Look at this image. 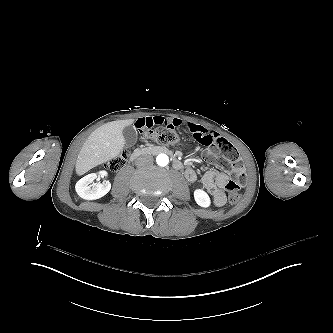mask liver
I'll list each match as a JSON object with an SVG mask.
<instances>
[{
  "instance_id": "obj_1",
  "label": "liver",
  "mask_w": 333,
  "mask_h": 333,
  "mask_svg": "<svg viewBox=\"0 0 333 333\" xmlns=\"http://www.w3.org/2000/svg\"><path fill=\"white\" fill-rule=\"evenodd\" d=\"M134 122V119L116 120L95 129L78 154L75 165L77 175H83L118 156L125 145L123 129Z\"/></svg>"
}]
</instances>
